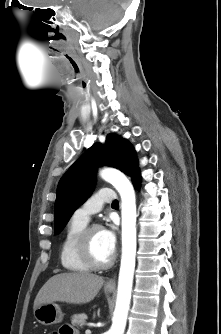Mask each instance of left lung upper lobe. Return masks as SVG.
Returning <instances> with one entry per match:
<instances>
[{
  "label": "left lung upper lobe",
  "instance_id": "1",
  "mask_svg": "<svg viewBox=\"0 0 221 334\" xmlns=\"http://www.w3.org/2000/svg\"><path fill=\"white\" fill-rule=\"evenodd\" d=\"M107 164L131 178L139 171L131 144L115 135L106 137L105 146L94 144L63 175L58 183L54 209L55 234H59L73 212L89 197L97 166Z\"/></svg>",
  "mask_w": 221,
  "mask_h": 334
}]
</instances>
